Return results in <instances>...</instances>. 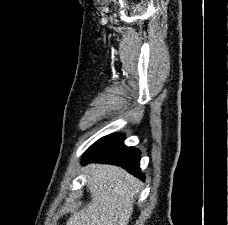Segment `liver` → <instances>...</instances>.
Masks as SVG:
<instances>
[{"mask_svg":"<svg viewBox=\"0 0 228 225\" xmlns=\"http://www.w3.org/2000/svg\"><path fill=\"white\" fill-rule=\"evenodd\" d=\"M86 187L91 201L66 225H128L140 181L113 165H87Z\"/></svg>","mask_w":228,"mask_h":225,"instance_id":"liver-1","label":"liver"}]
</instances>
